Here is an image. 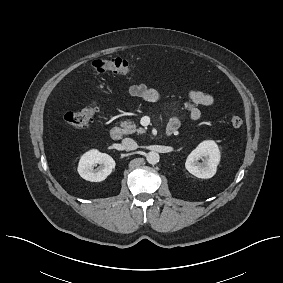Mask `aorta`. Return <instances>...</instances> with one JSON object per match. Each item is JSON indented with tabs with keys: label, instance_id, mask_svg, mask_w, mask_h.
Listing matches in <instances>:
<instances>
[{
	"label": "aorta",
	"instance_id": "1",
	"mask_svg": "<svg viewBox=\"0 0 283 283\" xmlns=\"http://www.w3.org/2000/svg\"><path fill=\"white\" fill-rule=\"evenodd\" d=\"M146 160L149 164L155 165L159 162L160 156L157 152L151 151V152L147 153Z\"/></svg>",
	"mask_w": 283,
	"mask_h": 283
}]
</instances>
